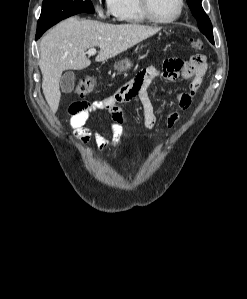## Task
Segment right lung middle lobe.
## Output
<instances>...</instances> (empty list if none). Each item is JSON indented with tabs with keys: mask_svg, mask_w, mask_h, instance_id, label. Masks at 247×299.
I'll use <instances>...</instances> for the list:
<instances>
[{
	"mask_svg": "<svg viewBox=\"0 0 247 299\" xmlns=\"http://www.w3.org/2000/svg\"><path fill=\"white\" fill-rule=\"evenodd\" d=\"M84 12L94 13L90 0H43L36 37L39 38L47 29L62 19Z\"/></svg>",
	"mask_w": 247,
	"mask_h": 299,
	"instance_id": "dd1d6c3e",
	"label": "right lung middle lobe"
}]
</instances>
